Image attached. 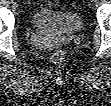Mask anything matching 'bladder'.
Here are the masks:
<instances>
[{
    "instance_id": "bladder-1",
    "label": "bladder",
    "mask_w": 111,
    "mask_h": 106,
    "mask_svg": "<svg viewBox=\"0 0 111 106\" xmlns=\"http://www.w3.org/2000/svg\"><path fill=\"white\" fill-rule=\"evenodd\" d=\"M32 23L39 29L58 34L76 33L83 25L77 12L56 9L51 3H44L34 11Z\"/></svg>"
}]
</instances>
